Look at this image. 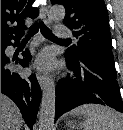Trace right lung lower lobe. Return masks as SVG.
<instances>
[{
  "instance_id": "right-lung-lower-lobe-1",
  "label": "right lung lower lobe",
  "mask_w": 123,
  "mask_h": 130,
  "mask_svg": "<svg viewBox=\"0 0 123 130\" xmlns=\"http://www.w3.org/2000/svg\"><path fill=\"white\" fill-rule=\"evenodd\" d=\"M19 39H15V46ZM13 45L11 41L1 44V93L11 98L19 107L24 120L30 128L36 121V115L41 99V89L34 75L28 78H22L16 73L11 65L13 60L5 55L7 46ZM23 59L16 60L18 65L27 67L31 60L28 50L22 53Z\"/></svg>"
}]
</instances>
